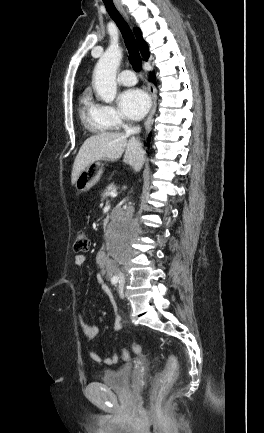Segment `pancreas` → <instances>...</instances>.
Here are the masks:
<instances>
[{
	"label": "pancreas",
	"instance_id": "pancreas-1",
	"mask_svg": "<svg viewBox=\"0 0 264 433\" xmlns=\"http://www.w3.org/2000/svg\"><path fill=\"white\" fill-rule=\"evenodd\" d=\"M116 190H117L116 186L113 183H111L109 186H107L106 190L102 194V199L107 198L108 196H110L111 192H116Z\"/></svg>",
	"mask_w": 264,
	"mask_h": 433
}]
</instances>
